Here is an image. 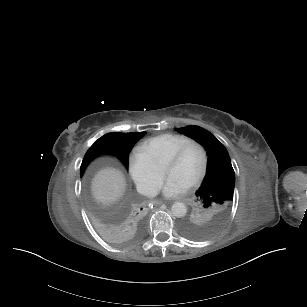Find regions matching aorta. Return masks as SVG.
Returning a JSON list of instances; mask_svg holds the SVG:
<instances>
[{
    "mask_svg": "<svg viewBox=\"0 0 307 307\" xmlns=\"http://www.w3.org/2000/svg\"><path fill=\"white\" fill-rule=\"evenodd\" d=\"M171 212L173 216L177 218L184 217L187 213V208L182 202H175L171 207Z\"/></svg>",
    "mask_w": 307,
    "mask_h": 307,
    "instance_id": "aorta-1",
    "label": "aorta"
}]
</instances>
